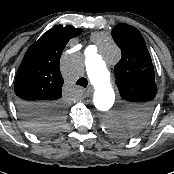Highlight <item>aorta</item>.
Returning a JSON list of instances; mask_svg holds the SVG:
<instances>
[{"mask_svg": "<svg viewBox=\"0 0 174 174\" xmlns=\"http://www.w3.org/2000/svg\"><path fill=\"white\" fill-rule=\"evenodd\" d=\"M104 57L106 61L111 63L117 62L120 58L119 48L110 39H106ZM86 71L94 87L93 101L101 114V126L106 131H111V124L123 119L125 113L109 112V109L114 103L115 94L110 82V74L107 70L106 63L100 57L87 55Z\"/></svg>", "mask_w": 174, "mask_h": 174, "instance_id": "obj_1", "label": "aorta"}]
</instances>
